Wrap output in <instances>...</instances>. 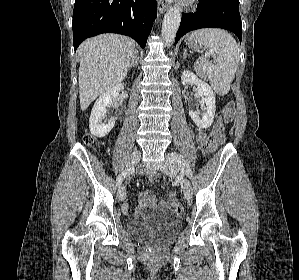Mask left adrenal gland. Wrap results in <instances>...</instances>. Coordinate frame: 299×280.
Listing matches in <instances>:
<instances>
[{
    "mask_svg": "<svg viewBox=\"0 0 299 280\" xmlns=\"http://www.w3.org/2000/svg\"><path fill=\"white\" fill-rule=\"evenodd\" d=\"M187 56H188V54H187V50H186V49H184V53H183V60H185Z\"/></svg>",
    "mask_w": 299,
    "mask_h": 280,
    "instance_id": "obj_1",
    "label": "left adrenal gland"
}]
</instances>
